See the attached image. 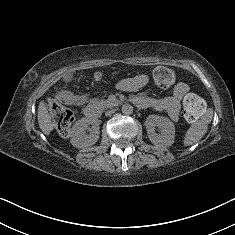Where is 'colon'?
I'll return each mask as SVG.
<instances>
[{"mask_svg": "<svg viewBox=\"0 0 235 235\" xmlns=\"http://www.w3.org/2000/svg\"><path fill=\"white\" fill-rule=\"evenodd\" d=\"M94 80L101 82L103 76L99 73L95 74ZM154 85L159 89L169 88L175 82V74L167 67H157L153 73ZM49 110L53 125L61 137H68L71 126L73 124V113L63 106L60 101L52 99L49 102ZM205 110L204 101L195 94H188L183 102V114L187 121L195 122L198 120Z\"/></svg>", "mask_w": 235, "mask_h": 235, "instance_id": "1", "label": "colon"}]
</instances>
